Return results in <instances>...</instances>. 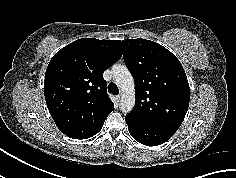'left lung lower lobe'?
<instances>
[{
  "label": "left lung lower lobe",
  "instance_id": "obj_1",
  "mask_svg": "<svg viewBox=\"0 0 236 178\" xmlns=\"http://www.w3.org/2000/svg\"><path fill=\"white\" fill-rule=\"evenodd\" d=\"M131 136L139 143L147 146H157L165 143L175 131L157 128L137 120L125 117Z\"/></svg>",
  "mask_w": 236,
  "mask_h": 178
}]
</instances>
